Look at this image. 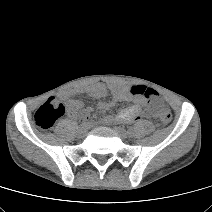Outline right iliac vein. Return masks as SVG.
I'll list each match as a JSON object with an SVG mask.
<instances>
[{
	"label": "right iliac vein",
	"mask_w": 212,
	"mask_h": 212,
	"mask_svg": "<svg viewBox=\"0 0 212 212\" xmlns=\"http://www.w3.org/2000/svg\"><path fill=\"white\" fill-rule=\"evenodd\" d=\"M87 130H88V126L79 127L78 135L81 136V137L84 136L86 134Z\"/></svg>",
	"instance_id": "63e3f726"
}]
</instances>
